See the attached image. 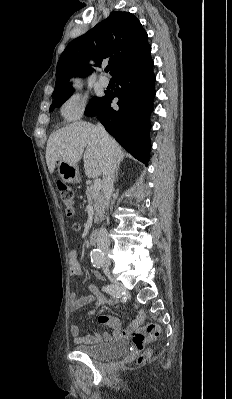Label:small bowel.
Masks as SVG:
<instances>
[{
	"mask_svg": "<svg viewBox=\"0 0 232 399\" xmlns=\"http://www.w3.org/2000/svg\"><path fill=\"white\" fill-rule=\"evenodd\" d=\"M85 255L77 249H70L69 251V273L71 276H82V269L80 263L84 260ZM96 275H99L95 271ZM87 287L89 295L81 299L77 298L76 292L71 290L69 293V313H77L84 309L91 301L98 303L103 302V296L98 292L95 285L88 282ZM145 319V312L143 309H138L134 321L126 327H121L118 319L113 315H101L98 321L107 324L113 329V336L119 338L123 333H131L136 331ZM71 340L77 345H101L102 338L99 333L93 335H86L81 333V328L77 321H73L70 325Z\"/></svg>",
	"mask_w": 232,
	"mask_h": 399,
	"instance_id": "1",
	"label": "small bowel"
}]
</instances>
